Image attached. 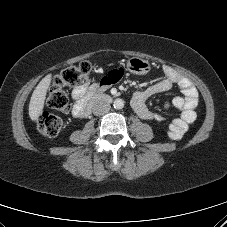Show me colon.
<instances>
[{
	"mask_svg": "<svg viewBox=\"0 0 227 227\" xmlns=\"http://www.w3.org/2000/svg\"><path fill=\"white\" fill-rule=\"evenodd\" d=\"M92 70L89 62H81L70 66L57 75L48 90L47 103L50 108L66 112L70 109V101L66 88L85 82ZM38 131L49 137L56 136L63 127V119L49 112H42L37 118Z\"/></svg>",
	"mask_w": 227,
	"mask_h": 227,
	"instance_id": "1",
	"label": "colon"
}]
</instances>
